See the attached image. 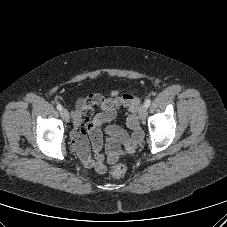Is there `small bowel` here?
<instances>
[{
  "instance_id": "small-bowel-1",
  "label": "small bowel",
  "mask_w": 227,
  "mask_h": 227,
  "mask_svg": "<svg viewBox=\"0 0 227 227\" xmlns=\"http://www.w3.org/2000/svg\"><path fill=\"white\" fill-rule=\"evenodd\" d=\"M94 106H98L101 112L94 114ZM137 106L138 100L133 95H119L117 92H112L108 97L91 94L77 102L74 112L75 130L72 133V142L87 168L98 173L106 171L105 157L101 153L103 129L106 123L115 119L121 108L126 110V124L130 133L115 125L105 128V132L109 136L106 144V160L112 164L125 152L132 153L136 149L143 138L136 117ZM90 143L93 156L90 152Z\"/></svg>"
}]
</instances>
